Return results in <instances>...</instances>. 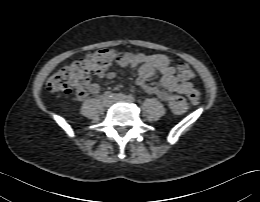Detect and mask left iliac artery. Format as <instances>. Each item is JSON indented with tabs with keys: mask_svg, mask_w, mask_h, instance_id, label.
<instances>
[{
	"mask_svg": "<svg viewBox=\"0 0 260 202\" xmlns=\"http://www.w3.org/2000/svg\"><path fill=\"white\" fill-rule=\"evenodd\" d=\"M127 98H128L129 101H131V102H134V101H135V98H134V96H133L132 94H129V95L127 96Z\"/></svg>",
	"mask_w": 260,
	"mask_h": 202,
	"instance_id": "obj_1",
	"label": "left iliac artery"
}]
</instances>
